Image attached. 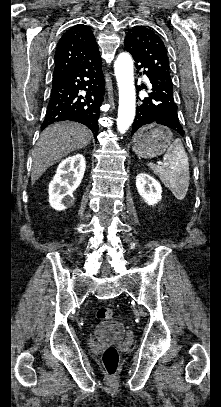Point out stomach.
<instances>
[{
    "instance_id": "stomach-1",
    "label": "stomach",
    "mask_w": 221,
    "mask_h": 407,
    "mask_svg": "<svg viewBox=\"0 0 221 407\" xmlns=\"http://www.w3.org/2000/svg\"><path fill=\"white\" fill-rule=\"evenodd\" d=\"M172 138L173 135L169 129L147 125L135 135L133 151L142 158H154L168 149Z\"/></svg>"
}]
</instances>
